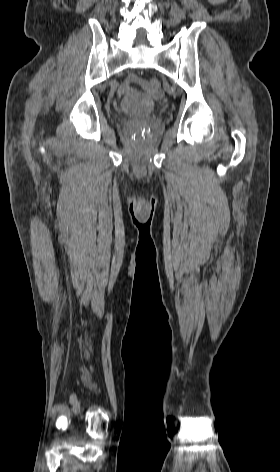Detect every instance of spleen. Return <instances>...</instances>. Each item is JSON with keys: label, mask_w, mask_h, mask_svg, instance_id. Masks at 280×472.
Segmentation results:
<instances>
[{"label": "spleen", "mask_w": 280, "mask_h": 472, "mask_svg": "<svg viewBox=\"0 0 280 472\" xmlns=\"http://www.w3.org/2000/svg\"><path fill=\"white\" fill-rule=\"evenodd\" d=\"M219 1H227V0H219Z\"/></svg>", "instance_id": "spleen-1"}]
</instances>
